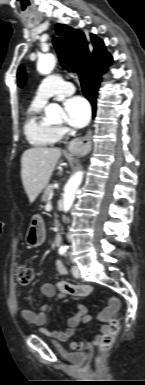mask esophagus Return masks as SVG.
Masks as SVG:
<instances>
[{
	"mask_svg": "<svg viewBox=\"0 0 145 385\" xmlns=\"http://www.w3.org/2000/svg\"><path fill=\"white\" fill-rule=\"evenodd\" d=\"M91 139L92 131L88 130L84 137L73 139L69 144V149L78 155H86L92 147Z\"/></svg>",
	"mask_w": 145,
	"mask_h": 385,
	"instance_id": "obj_1",
	"label": "esophagus"
}]
</instances>
